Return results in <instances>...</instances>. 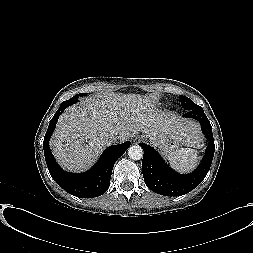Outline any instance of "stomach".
<instances>
[{
  "mask_svg": "<svg viewBox=\"0 0 253 253\" xmlns=\"http://www.w3.org/2000/svg\"><path fill=\"white\" fill-rule=\"evenodd\" d=\"M182 145L183 143L179 139L167 137L162 142H160L157 146L161 154L167 157L172 151L178 149Z\"/></svg>",
  "mask_w": 253,
  "mask_h": 253,
  "instance_id": "1",
  "label": "stomach"
}]
</instances>
